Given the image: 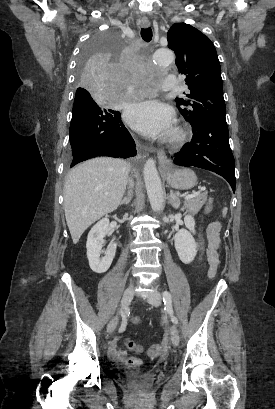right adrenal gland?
Instances as JSON below:
<instances>
[{"mask_svg":"<svg viewBox=\"0 0 275 409\" xmlns=\"http://www.w3.org/2000/svg\"><path fill=\"white\" fill-rule=\"evenodd\" d=\"M132 196V190H128V196H124L123 200L120 202V205H128V202H130Z\"/></svg>","mask_w":275,"mask_h":409,"instance_id":"1","label":"right adrenal gland"}]
</instances>
